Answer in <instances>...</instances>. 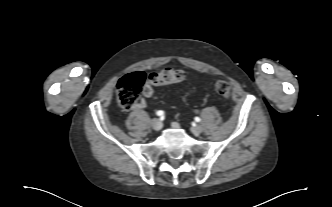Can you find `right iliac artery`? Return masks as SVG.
Masks as SVG:
<instances>
[{
    "mask_svg": "<svg viewBox=\"0 0 332 207\" xmlns=\"http://www.w3.org/2000/svg\"><path fill=\"white\" fill-rule=\"evenodd\" d=\"M156 115L160 116V117H163L164 116V111L159 110V111L156 112Z\"/></svg>",
    "mask_w": 332,
    "mask_h": 207,
    "instance_id": "1",
    "label": "right iliac artery"
}]
</instances>
